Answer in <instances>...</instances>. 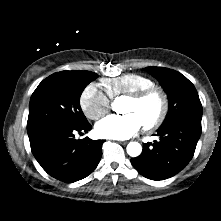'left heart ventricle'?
Wrapping results in <instances>:
<instances>
[{"label":"left heart ventricle","instance_id":"1","mask_svg":"<svg viewBox=\"0 0 221 221\" xmlns=\"http://www.w3.org/2000/svg\"><path fill=\"white\" fill-rule=\"evenodd\" d=\"M160 109V101L156 96L150 97L143 102H134L126 99L122 107V112L136 114L142 123L151 121L156 117Z\"/></svg>","mask_w":221,"mask_h":221}]
</instances>
